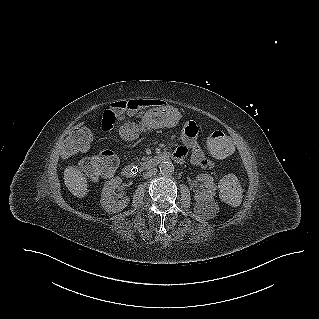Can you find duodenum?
Masks as SVG:
<instances>
[{
  "mask_svg": "<svg viewBox=\"0 0 319 319\" xmlns=\"http://www.w3.org/2000/svg\"><path fill=\"white\" fill-rule=\"evenodd\" d=\"M171 158H174V155L168 152L153 155L148 159L146 163V168H155L162 162L169 160ZM122 173L127 178H134L138 173V168L134 164H127L123 167Z\"/></svg>",
  "mask_w": 319,
  "mask_h": 319,
  "instance_id": "1",
  "label": "duodenum"
}]
</instances>
